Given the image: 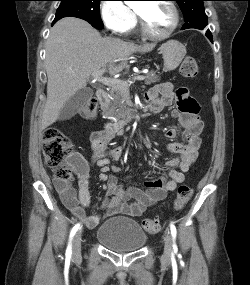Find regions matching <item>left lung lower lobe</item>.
<instances>
[{"instance_id":"left-lung-lower-lobe-1","label":"left lung lower lobe","mask_w":250,"mask_h":285,"mask_svg":"<svg viewBox=\"0 0 250 285\" xmlns=\"http://www.w3.org/2000/svg\"><path fill=\"white\" fill-rule=\"evenodd\" d=\"M206 36L209 38L210 41H213L212 34L210 31L206 32Z\"/></svg>"}]
</instances>
